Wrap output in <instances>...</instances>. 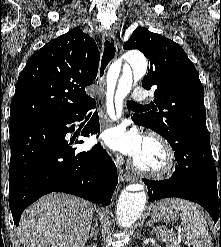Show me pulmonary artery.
I'll return each mask as SVG.
<instances>
[{
    "mask_svg": "<svg viewBox=\"0 0 221 247\" xmlns=\"http://www.w3.org/2000/svg\"><path fill=\"white\" fill-rule=\"evenodd\" d=\"M132 97L135 100H145L148 97V94L144 90L135 89L132 93Z\"/></svg>",
    "mask_w": 221,
    "mask_h": 247,
    "instance_id": "e3ab8cb5",
    "label": "pulmonary artery"
}]
</instances>
